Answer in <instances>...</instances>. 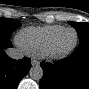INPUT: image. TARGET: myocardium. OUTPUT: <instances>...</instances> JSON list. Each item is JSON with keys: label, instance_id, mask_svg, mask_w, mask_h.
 Returning a JSON list of instances; mask_svg holds the SVG:
<instances>
[{"label": "myocardium", "instance_id": "myocardium-1", "mask_svg": "<svg viewBox=\"0 0 89 89\" xmlns=\"http://www.w3.org/2000/svg\"><path fill=\"white\" fill-rule=\"evenodd\" d=\"M71 31L74 33V41L73 43L66 48L65 50L62 51H54L53 50V44L55 40L64 32ZM79 40L78 32L76 29L72 27H64L62 28L59 32H57L53 37L50 38L49 42L46 45L45 51H44V57L49 58V59H61L66 56H68L70 53L73 52V50L76 48L77 43Z\"/></svg>", "mask_w": 89, "mask_h": 89}]
</instances>
